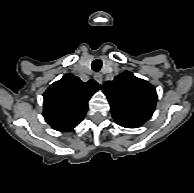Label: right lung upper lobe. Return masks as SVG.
Instances as JSON below:
<instances>
[{"label": "right lung upper lobe", "mask_w": 194, "mask_h": 193, "mask_svg": "<svg viewBox=\"0 0 194 193\" xmlns=\"http://www.w3.org/2000/svg\"><path fill=\"white\" fill-rule=\"evenodd\" d=\"M99 89L100 85L94 80L84 83L72 74H65L43 95L45 120L57 131L72 130L83 120L88 100Z\"/></svg>", "instance_id": "cb5924a9"}]
</instances>
